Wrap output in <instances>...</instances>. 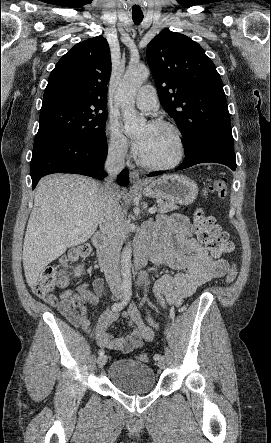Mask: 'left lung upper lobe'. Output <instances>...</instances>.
Masks as SVG:
<instances>
[{
  "label": "left lung upper lobe",
  "mask_w": 271,
  "mask_h": 443,
  "mask_svg": "<svg viewBox=\"0 0 271 443\" xmlns=\"http://www.w3.org/2000/svg\"><path fill=\"white\" fill-rule=\"evenodd\" d=\"M147 61L160 102L183 135L185 151L205 133H231L221 77L197 42L165 29L148 44Z\"/></svg>",
  "instance_id": "obj_1"
}]
</instances>
